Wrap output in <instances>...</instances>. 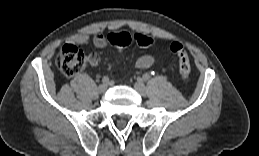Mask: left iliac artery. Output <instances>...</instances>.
Masks as SVG:
<instances>
[{
    "label": "left iliac artery",
    "instance_id": "obj_1",
    "mask_svg": "<svg viewBox=\"0 0 259 156\" xmlns=\"http://www.w3.org/2000/svg\"><path fill=\"white\" fill-rule=\"evenodd\" d=\"M153 74H154V72H153ZM149 78H150V75L149 74H144L143 75V79L145 80V81H147V80H149Z\"/></svg>",
    "mask_w": 259,
    "mask_h": 156
}]
</instances>
